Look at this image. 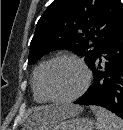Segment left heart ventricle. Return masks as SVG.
Listing matches in <instances>:
<instances>
[{"label": "left heart ventricle", "instance_id": "obj_1", "mask_svg": "<svg viewBox=\"0 0 123 130\" xmlns=\"http://www.w3.org/2000/svg\"><path fill=\"white\" fill-rule=\"evenodd\" d=\"M85 74L82 68L71 60L57 61L47 75V87L58 98H68L79 91Z\"/></svg>", "mask_w": 123, "mask_h": 130}]
</instances>
